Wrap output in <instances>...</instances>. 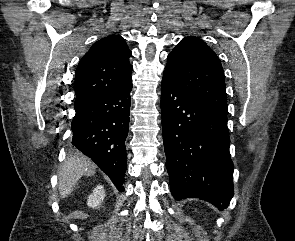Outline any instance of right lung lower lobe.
<instances>
[{"instance_id": "obj_1", "label": "right lung lower lobe", "mask_w": 295, "mask_h": 241, "mask_svg": "<svg viewBox=\"0 0 295 241\" xmlns=\"http://www.w3.org/2000/svg\"><path fill=\"white\" fill-rule=\"evenodd\" d=\"M132 82L77 100L72 144L106 173L120 192L126 170Z\"/></svg>"}]
</instances>
